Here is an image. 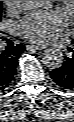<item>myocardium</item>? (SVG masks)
Wrapping results in <instances>:
<instances>
[{
	"mask_svg": "<svg viewBox=\"0 0 74 122\" xmlns=\"http://www.w3.org/2000/svg\"><path fill=\"white\" fill-rule=\"evenodd\" d=\"M74 1H60V4L67 10H70Z\"/></svg>",
	"mask_w": 74,
	"mask_h": 122,
	"instance_id": "1",
	"label": "myocardium"
}]
</instances>
